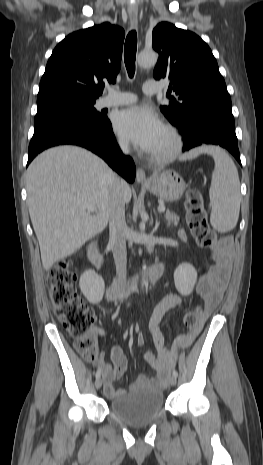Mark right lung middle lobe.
<instances>
[{
	"mask_svg": "<svg viewBox=\"0 0 263 465\" xmlns=\"http://www.w3.org/2000/svg\"><path fill=\"white\" fill-rule=\"evenodd\" d=\"M96 99L58 96L37 101L34 124L53 117H73L85 121H103L106 116L93 107Z\"/></svg>",
	"mask_w": 263,
	"mask_h": 465,
	"instance_id": "dd1d6c3e",
	"label": "right lung middle lobe"
}]
</instances>
